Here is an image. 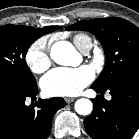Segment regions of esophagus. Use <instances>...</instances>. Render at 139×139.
Returning <instances> with one entry per match:
<instances>
[{"label": "esophagus", "instance_id": "34e87169", "mask_svg": "<svg viewBox=\"0 0 139 139\" xmlns=\"http://www.w3.org/2000/svg\"><path fill=\"white\" fill-rule=\"evenodd\" d=\"M75 100V98L67 97L65 98L66 103H72Z\"/></svg>", "mask_w": 139, "mask_h": 139}]
</instances>
